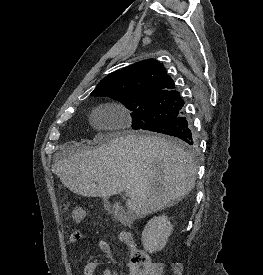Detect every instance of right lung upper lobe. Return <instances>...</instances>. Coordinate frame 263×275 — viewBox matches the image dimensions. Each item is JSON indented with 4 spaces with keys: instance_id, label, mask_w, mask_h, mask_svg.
Returning <instances> with one entry per match:
<instances>
[{
    "instance_id": "obj_1",
    "label": "right lung upper lobe",
    "mask_w": 263,
    "mask_h": 275,
    "mask_svg": "<svg viewBox=\"0 0 263 275\" xmlns=\"http://www.w3.org/2000/svg\"><path fill=\"white\" fill-rule=\"evenodd\" d=\"M172 78L157 60H144L103 78L92 93L123 90L138 96L178 95Z\"/></svg>"
}]
</instances>
